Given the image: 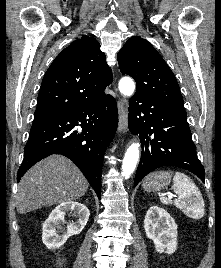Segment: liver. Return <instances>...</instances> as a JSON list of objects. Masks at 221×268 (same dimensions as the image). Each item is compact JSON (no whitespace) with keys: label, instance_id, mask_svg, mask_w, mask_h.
<instances>
[{"label":"liver","instance_id":"6515ba94","mask_svg":"<svg viewBox=\"0 0 221 268\" xmlns=\"http://www.w3.org/2000/svg\"><path fill=\"white\" fill-rule=\"evenodd\" d=\"M88 182L66 157L52 155L34 165L21 179L16 195L21 214L82 197Z\"/></svg>","mask_w":221,"mask_h":268}]
</instances>
